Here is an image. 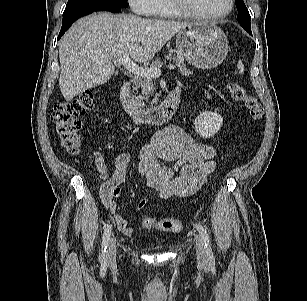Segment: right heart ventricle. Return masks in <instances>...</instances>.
Returning a JSON list of instances; mask_svg holds the SVG:
<instances>
[{
	"mask_svg": "<svg viewBox=\"0 0 307 301\" xmlns=\"http://www.w3.org/2000/svg\"><path fill=\"white\" fill-rule=\"evenodd\" d=\"M162 18H177L179 17L167 4L166 0L161 1V11L159 14Z\"/></svg>",
	"mask_w": 307,
	"mask_h": 301,
	"instance_id": "1",
	"label": "right heart ventricle"
}]
</instances>
